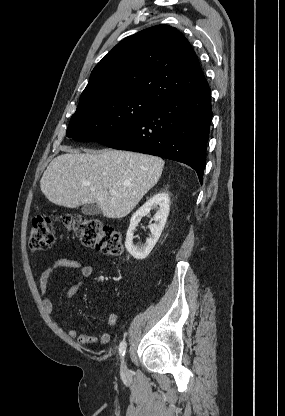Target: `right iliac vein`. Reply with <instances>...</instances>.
<instances>
[{
	"label": "right iliac vein",
	"instance_id": "obj_1",
	"mask_svg": "<svg viewBox=\"0 0 285 416\" xmlns=\"http://www.w3.org/2000/svg\"><path fill=\"white\" fill-rule=\"evenodd\" d=\"M121 374L123 376L128 375V368H127L126 360L125 359L121 362Z\"/></svg>",
	"mask_w": 285,
	"mask_h": 416
}]
</instances>
